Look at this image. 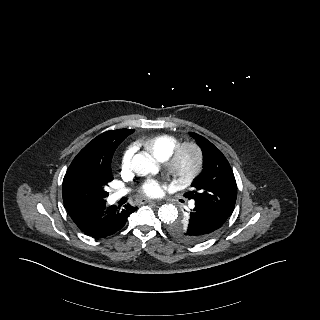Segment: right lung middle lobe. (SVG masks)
Masks as SVG:
<instances>
[{"instance_id": "1", "label": "right lung middle lobe", "mask_w": 320, "mask_h": 320, "mask_svg": "<svg viewBox=\"0 0 320 320\" xmlns=\"http://www.w3.org/2000/svg\"><path fill=\"white\" fill-rule=\"evenodd\" d=\"M113 180L111 168L99 165L68 169L63 179L65 206L96 204L109 195L106 187Z\"/></svg>"}]
</instances>
